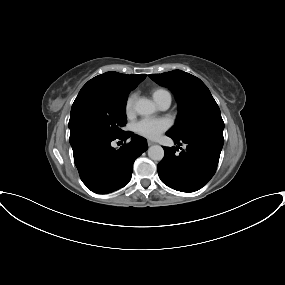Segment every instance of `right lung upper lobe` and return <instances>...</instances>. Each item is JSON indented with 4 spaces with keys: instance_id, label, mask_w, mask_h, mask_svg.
Masks as SVG:
<instances>
[{
    "instance_id": "right-lung-upper-lobe-1",
    "label": "right lung upper lobe",
    "mask_w": 285,
    "mask_h": 285,
    "mask_svg": "<svg viewBox=\"0 0 285 285\" xmlns=\"http://www.w3.org/2000/svg\"><path fill=\"white\" fill-rule=\"evenodd\" d=\"M146 75H126L117 72H106L88 81L79 94L93 91L97 93L127 95L133 90Z\"/></svg>"
}]
</instances>
